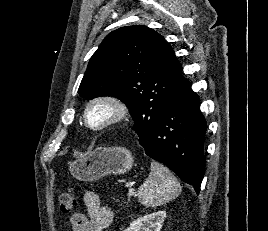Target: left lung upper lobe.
I'll list each match as a JSON object with an SVG mask.
<instances>
[{
    "instance_id": "obj_1",
    "label": "left lung upper lobe",
    "mask_w": 268,
    "mask_h": 231,
    "mask_svg": "<svg viewBox=\"0 0 268 231\" xmlns=\"http://www.w3.org/2000/svg\"><path fill=\"white\" fill-rule=\"evenodd\" d=\"M187 81L164 38L153 29L134 25L106 36L89 61L78 93L88 99H120L130 108L135 122L132 129L142 135Z\"/></svg>"
}]
</instances>
